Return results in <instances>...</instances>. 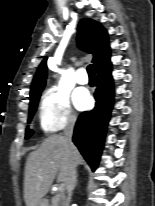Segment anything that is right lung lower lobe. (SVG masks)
<instances>
[{"label":"right lung lower lobe","mask_w":155,"mask_h":206,"mask_svg":"<svg viewBox=\"0 0 155 206\" xmlns=\"http://www.w3.org/2000/svg\"><path fill=\"white\" fill-rule=\"evenodd\" d=\"M111 62L97 71L96 106L83 112L76 123L73 142L92 170L99 164L103 150L106 127L113 106L114 87Z\"/></svg>","instance_id":"1"}]
</instances>
